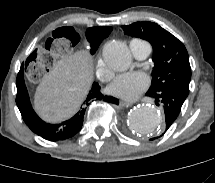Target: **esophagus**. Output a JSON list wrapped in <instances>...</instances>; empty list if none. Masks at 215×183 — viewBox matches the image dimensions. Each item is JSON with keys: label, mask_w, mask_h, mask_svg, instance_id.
Here are the masks:
<instances>
[{"label": "esophagus", "mask_w": 215, "mask_h": 183, "mask_svg": "<svg viewBox=\"0 0 215 183\" xmlns=\"http://www.w3.org/2000/svg\"><path fill=\"white\" fill-rule=\"evenodd\" d=\"M133 104H134L133 102L123 101V100L120 101V106L121 107H130Z\"/></svg>", "instance_id": "esophagus-1"}]
</instances>
